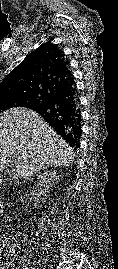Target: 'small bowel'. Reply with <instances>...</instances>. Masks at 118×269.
<instances>
[{"mask_svg":"<svg viewBox=\"0 0 118 269\" xmlns=\"http://www.w3.org/2000/svg\"><path fill=\"white\" fill-rule=\"evenodd\" d=\"M0 269H1V265H0ZM13 269H20L19 267H15V268H13Z\"/></svg>","mask_w":118,"mask_h":269,"instance_id":"small-bowel-1","label":"small bowel"}]
</instances>
